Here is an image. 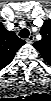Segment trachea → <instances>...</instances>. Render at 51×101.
I'll list each match as a JSON object with an SVG mask.
<instances>
[{
  "instance_id": "trachea-1",
  "label": "trachea",
  "mask_w": 51,
  "mask_h": 101,
  "mask_svg": "<svg viewBox=\"0 0 51 101\" xmlns=\"http://www.w3.org/2000/svg\"><path fill=\"white\" fill-rule=\"evenodd\" d=\"M29 34H30V33H29V30L26 29V28H24V29H22V30L20 31L19 36H20L21 38L26 39V38H28Z\"/></svg>"
}]
</instances>
